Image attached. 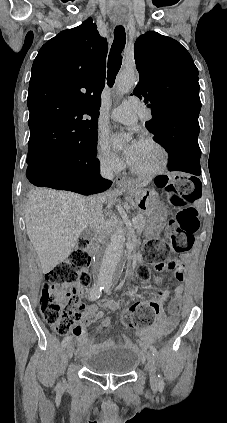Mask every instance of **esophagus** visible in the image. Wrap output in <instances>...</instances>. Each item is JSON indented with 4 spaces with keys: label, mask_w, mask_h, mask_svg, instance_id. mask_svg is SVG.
I'll list each match as a JSON object with an SVG mask.
<instances>
[{
    "label": "esophagus",
    "mask_w": 227,
    "mask_h": 423,
    "mask_svg": "<svg viewBox=\"0 0 227 423\" xmlns=\"http://www.w3.org/2000/svg\"><path fill=\"white\" fill-rule=\"evenodd\" d=\"M127 181H128L127 178H125V176H123V175H118L116 177V184H123Z\"/></svg>",
    "instance_id": "34e87169"
}]
</instances>
